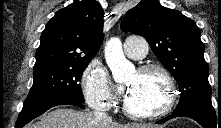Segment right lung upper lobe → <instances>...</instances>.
<instances>
[{
  "label": "right lung upper lobe",
  "instance_id": "1",
  "mask_svg": "<svg viewBox=\"0 0 221 128\" xmlns=\"http://www.w3.org/2000/svg\"><path fill=\"white\" fill-rule=\"evenodd\" d=\"M104 12L96 0L75 1L47 23L36 52L34 70L92 60L103 35Z\"/></svg>",
  "mask_w": 221,
  "mask_h": 128
}]
</instances>
